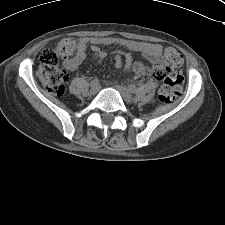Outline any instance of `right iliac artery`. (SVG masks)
I'll return each instance as SVG.
<instances>
[{"label":"right iliac artery","instance_id":"82829eb1","mask_svg":"<svg viewBox=\"0 0 225 225\" xmlns=\"http://www.w3.org/2000/svg\"><path fill=\"white\" fill-rule=\"evenodd\" d=\"M91 85H94V84H99V80L97 78H94L91 83Z\"/></svg>","mask_w":225,"mask_h":225}]
</instances>
